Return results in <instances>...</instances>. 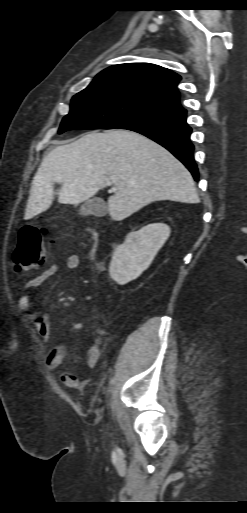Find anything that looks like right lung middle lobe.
<instances>
[{"instance_id":"dd1d6c3e","label":"right lung middle lobe","mask_w":247,"mask_h":513,"mask_svg":"<svg viewBox=\"0 0 247 513\" xmlns=\"http://www.w3.org/2000/svg\"><path fill=\"white\" fill-rule=\"evenodd\" d=\"M171 111L140 94L115 89L94 88L72 98L70 112L58 133L77 129H114L130 122Z\"/></svg>"}]
</instances>
